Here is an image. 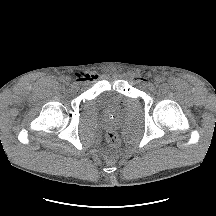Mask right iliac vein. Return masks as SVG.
Masks as SVG:
<instances>
[{"mask_svg":"<svg viewBox=\"0 0 216 216\" xmlns=\"http://www.w3.org/2000/svg\"><path fill=\"white\" fill-rule=\"evenodd\" d=\"M63 80H64L65 82H68V81H69V78H68V77L63 78Z\"/></svg>","mask_w":216,"mask_h":216,"instance_id":"right-iliac-vein-1","label":"right iliac vein"}]
</instances>
